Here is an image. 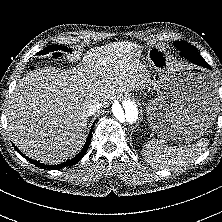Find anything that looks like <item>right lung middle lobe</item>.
<instances>
[{"instance_id": "dd1d6c3e", "label": "right lung middle lobe", "mask_w": 222, "mask_h": 222, "mask_svg": "<svg viewBox=\"0 0 222 222\" xmlns=\"http://www.w3.org/2000/svg\"><path fill=\"white\" fill-rule=\"evenodd\" d=\"M53 50H63V51H67V52H71L70 49L64 47V46H61V45H51V46H48L47 48H45L44 50H42L41 52H39L38 54H46L48 53L49 51H53Z\"/></svg>"}]
</instances>
